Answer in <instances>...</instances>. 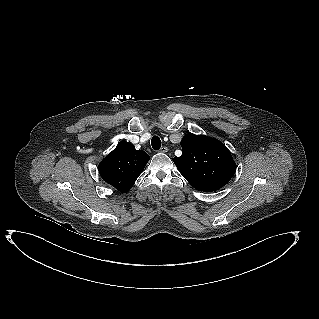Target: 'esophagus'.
<instances>
[{
	"label": "esophagus",
	"mask_w": 319,
	"mask_h": 319,
	"mask_svg": "<svg viewBox=\"0 0 319 319\" xmlns=\"http://www.w3.org/2000/svg\"><path fill=\"white\" fill-rule=\"evenodd\" d=\"M168 151V148L166 146H163L160 148V152L166 153Z\"/></svg>",
	"instance_id": "34e87169"
}]
</instances>
